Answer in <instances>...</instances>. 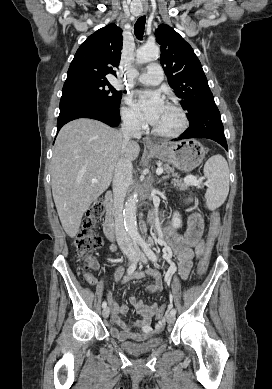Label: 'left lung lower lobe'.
I'll use <instances>...</instances> for the list:
<instances>
[{
	"instance_id": "0a47b994",
	"label": "left lung lower lobe",
	"mask_w": 272,
	"mask_h": 389,
	"mask_svg": "<svg viewBox=\"0 0 272 389\" xmlns=\"http://www.w3.org/2000/svg\"><path fill=\"white\" fill-rule=\"evenodd\" d=\"M189 128L175 141L189 138H208L218 142L226 150L228 146L220 112L215 102H209L191 117H188Z\"/></svg>"
}]
</instances>
